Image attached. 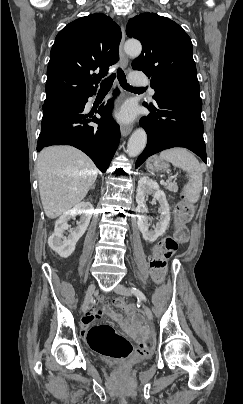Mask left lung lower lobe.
Here are the masks:
<instances>
[{"label":"left lung lower lobe","mask_w":243,"mask_h":404,"mask_svg":"<svg viewBox=\"0 0 243 404\" xmlns=\"http://www.w3.org/2000/svg\"><path fill=\"white\" fill-rule=\"evenodd\" d=\"M150 105L152 112L140 120L148 135L147 146L138 157L139 167L149 156L172 147H184L197 154L206 163L203 139L201 98L167 96Z\"/></svg>","instance_id":"1"}]
</instances>
